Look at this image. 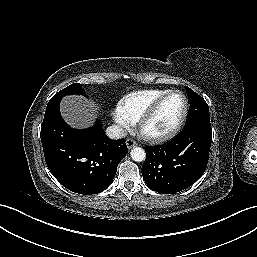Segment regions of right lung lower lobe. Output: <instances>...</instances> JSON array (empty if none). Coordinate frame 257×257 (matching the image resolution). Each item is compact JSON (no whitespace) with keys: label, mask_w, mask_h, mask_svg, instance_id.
Wrapping results in <instances>:
<instances>
[{"label":"right lung lower lobe","mask_w":257,"mask_h":257,"mask_svg":"<svg viewBox=\"0 0 257 257\" xmlns=\"http://www.w3.org/2000/svg\"><path fill=\"white\" fill-rule=\"evenodd\" d=\"M62 98H51L41 125L46 164L53 176L72 192L92 195L104 191L127 154L124 139H109L97 121L86 130L72 129L61 117Z\"/></svg>","instance_id":"obj_1"}]
</instances>
